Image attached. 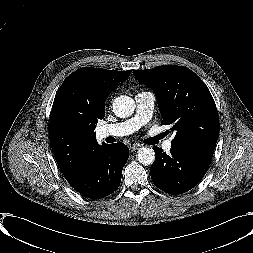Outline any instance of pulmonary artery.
Listing matches in <instances>:
<instances>
[{
	"label": "pulmonary artery",
	"instance_id": "pulmonary-artery-1",
	"mask_svg": "<svg viewBox=\"0 0 253 253\" xmlns=\"http://www.w3.org/2000/svg\"><path fill=\"white\" fill-rule=\"evenodd\" d=\"M137 104L136 114L125 121L103 126L99 130V137H122L132 134L146 124L153 115L155 96L152 92H139L135 96ZM164 150L172 148V137L165 140L162 144Z\"/></svg>",
	"mask_w": 253,
	"mask_h": 253
}]
</instances>
